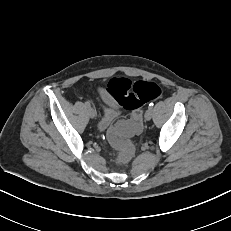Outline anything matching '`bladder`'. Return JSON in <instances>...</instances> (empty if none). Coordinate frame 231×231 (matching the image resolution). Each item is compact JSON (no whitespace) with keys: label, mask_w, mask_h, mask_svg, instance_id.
Listing matches in <instances>:
<instances>
[{"label":"bladder","mask_w":231,"mask_h":231,"mask_svg":"<svg viewBox=\"0 0 231 231\" xmlns=\"http://www.w3.org/2000/svg\"><path fill=\"white\" fill-rule=\"evenodd\" d=\"M116 115L112 110H104L98 118V129L100 132L107 130L115 121Z\"/></svg>","instance_id":"bladder-1"}]
</instances>
